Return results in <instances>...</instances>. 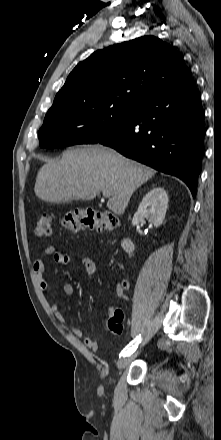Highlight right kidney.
I'll return each mask as SVG.
<instances>
[{
    "label": "right kidney",
    "instance_id": "right-kidney-1",
    "mask_svg": "<svg viewBox=\"0 0 221 440\" xmlns=\"http://www.w3.org/2000/svg\"><path fill=\"white\" fill-rule=\"evenodd\" d=\"M167 208L168 196L164 188H153L143 197L132 219V225H138L141 219L147 218L151 224L159 227L165 219Z\"/></svg>",
    "mask_w": 221,
    "mask_h": 440
}]
</instances>
